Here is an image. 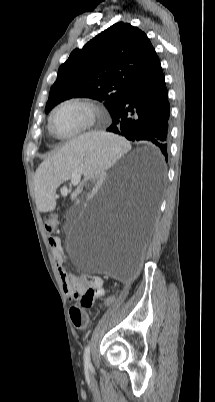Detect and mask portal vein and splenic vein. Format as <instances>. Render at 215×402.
Wrapping results in <instances>:
<instances>
[{"label": "portal vein and splenic vein", "instance_id": "18ae733b", "mask_svg": "<svg viewBox=\"0 0 215 402\" xmlns=\"http://www.w3.org/2000/svg\"><path fill=\"white\" fill-rule=\"evenodd\" d=\"M74 176H77V180H74L73 182H74V184H77L79 182V175L75 174Z\"/></svg>", "mask_w": 215, "mask_h": 402}]
</instances>
